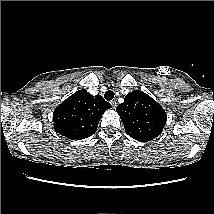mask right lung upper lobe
Masks as SVG:
<instances>
[{
	"mask_svg": "<svg viewBox=\"0 0 214 214\" xmlns=\"http://www.w3.org/2000/svg\"><path fill=\"white\" fill-rule=\"evenodd\" d=\"M111 108L101 95L92 96L85 89L78 90L59 104L53 113L54 129L73 140L93 135L102 114Z\"/></svg>",
	"mask_w": 214,
	"mask_h": 214,
	"instance_id": "right-lung-upper-lobe-1",
	"label": "right lung upper lobe"
}]
</instances>
